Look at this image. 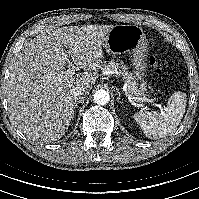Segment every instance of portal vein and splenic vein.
Instances as JSON below:
<instances>
[{
  "mask_svg": "<svg viewBox=\"0 0 199 199\" xmlns=\"http://www.w3.org/2000/svg\"><path fill=\"white\" fill-rule=\"evenodd\" d=\"M75 73V66L72 64V62L68 61V69L67 71L65 72V74L69 77H72ZM129 99H134L135 101H138V102H141V103H150L154 106H157L159 108H161V105L156 103L153 99H149V98H145V97H132V96H129Z\"/></svg>",
  "mask_w": 199,
  "mask_h": 199,
  "instance_id": "1",
  "label": "portal vein and splenic vein"
}]
</instances>
